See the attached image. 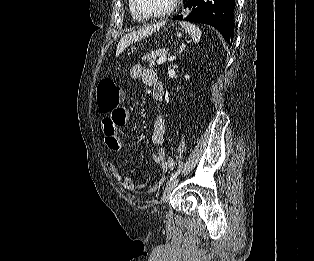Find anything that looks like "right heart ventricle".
I'll return each instance as SVG.
<instances>
[{
  "label": "right heart ventricle",
  "mask_w": 314,
  "mask_h": 261,
  "mask_svg": "<svg viewBox=\"0 0 314 261\" xmlns=\"http://www.w3.org/2000/svg\"><path fill=\"white\" fill-rule=\"evenodd\" d=\"M128 8H129V12H130L131 16L133 17V19L138 20V21H141L143 19L134 10L132 0H128Z\"/></svg>",
  "instance_id": "1"
}]
</instances>
